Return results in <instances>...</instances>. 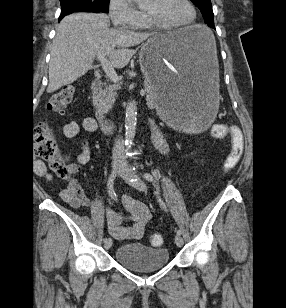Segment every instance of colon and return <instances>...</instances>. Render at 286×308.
<instances>
[{
  "label": "colon",
  "instance_id": "5ec220e1",
  "mask_svg": "<svg viewBox=\"0 0 286 308\" xmlns=\"http://www.w3.org/2000/svg\"><path fill=\"white\" fill-rule=\"evenodd\" d=\"M75 96L74 86H65L58 90L48 101L47 108L53 112H62L69 107ZM212 133L216 138H225L231 131L227 125L216 124ZM231 151L224 163V170L230 171L235 168L241 160L244 144L242 139L231 140ZM34 146L38 157L45 160L50 170L60 178H67L69 175L68 166L62 159L51 130L46 123L38 124L34 129ZM152 246L158 247L163 244L161 234L150 236Z\"/></svg>",
  "mask_w": 286,
  "mask_h": 308
}]
</instances>
